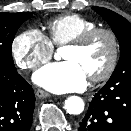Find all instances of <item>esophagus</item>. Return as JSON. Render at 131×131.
<instances>
[{
	"instance_id": "1",
	"label": "esophagus",
	"mask_w": 131,
	"mask_h": 131,
	"mask_svg": "<svg viewBox=\"0 0 131 131\" xmlns=\"http://www.w3.org/2000/svg\"><path fill=\"white\" fill-rule=\"evenodd\" d=\"M36 96L39 97V98H46V97H49L50 96V93L42 90V89H38L36 91Z\"/></svg>"
}]
</instances>
